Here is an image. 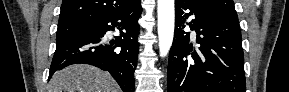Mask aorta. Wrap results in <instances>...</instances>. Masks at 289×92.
<instances>
[{
  "instance_id": "1",
  "label": "aorta",
  "mask_w": 289,
  "mask_h": 92,
  "mask_svg": "<svg viewBox=\"0 0 289 92\" xmlns=\"http://www.w3.org/2000/svg\"><path fill=\"white\" fill-rule=\"evenodd\" d=\"M158 39L160 56L165 57L172 46L174 37V0H158Z\"/></svg>"
}]
</instances>
